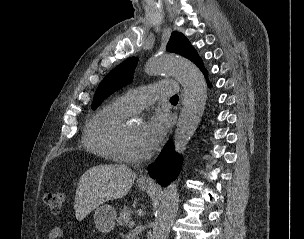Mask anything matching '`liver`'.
Wrapping results in <instances>:
<instances>
[{"mask_svg": "<svg viewBox=\"0 0 304 239\" xmlns=\"http://www.w3.org/2000/svg\"><path fill=\"white\" fill-rule=\"evenodd\" d=\"M135 178L136 173L125 165H99L88 169L76 189V219L82 221L99 205L126 196Z\"/></svg>", "mask_w": 304, "mask_h": 239, "instance_id": "6515ba94", "label": "liver"}]
</instances>
